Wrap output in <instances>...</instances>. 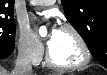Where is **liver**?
<instances>
[{
	"label": "liver",
	"mask_w": 107,
	"mask_h": 75,
	"mask_svg": "<svg viewBox=\"0 0 107 75\" xmlns=\"http://www.w3.org/2000/svg\"><path fill=\"white\" fill-rule=\"evenodd\" d=\"M0 75H9V74L4 68H1L0 69Z\"/></svg>",
	"instance_id": "6515ba94"
}]
</instances>
